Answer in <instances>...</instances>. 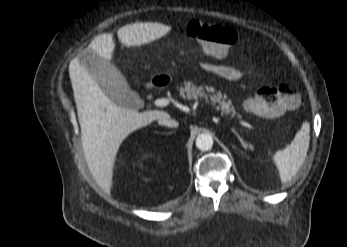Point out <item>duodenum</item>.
Segmentation results:
<instances>
[{
  "label": "duodenum",
  "mask_w": 347,
  "mask_h": 247,
  "mask_svg": "<svg viewBox=\"0 0 347 247\" xmlns=\"http://www.w3.org/2000/svg\"><path fill=\"white\" fill-rule=\"evenodd\" d=\"M166 86V82L164 81L163 77H155L153 78L147 85L149 89H154V88H161Z\"/></svg>",
  "instance_id": "duodenum-1"
}]
</instances>
